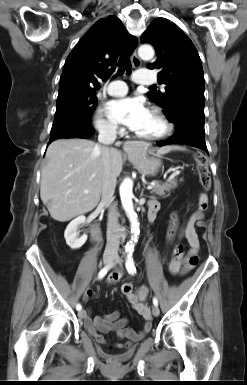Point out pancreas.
I'll return each instance as SVG.
<instances>
[{
  "mask_svg": "<svg viewBox=\"0 0 247 385\" xmlns=\"http://www.w3.org/2000/svg\"><path fill=\"white\" fill-rule=\"evenodd\" d=\"M177 185H178L177 179L167 181L163 184H160L159 182L156 181L155 185L153 186V189L151 190V193L156 194L158 196H165L166 192H170L172 189H175Z\"/></svg>",
  "mask_w": 247,
  "mask_h": 385,
  "instance_id": "obj_1",
  "label": "pancreas"
}]
</instances>
